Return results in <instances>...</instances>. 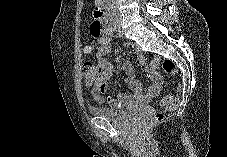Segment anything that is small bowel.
Wrapping results in <instances>:
<instances>
[{
  "instance_id": "small-bowel-1",
  "label": "small bowel",
  "mask_w": 227,
  "mask_h": 157,
  "mask_svg": "<svg viewBox=\"0 0 227 157\" xmlns=\"http://www.w3.org/2000/svg\"><path fill=\"white\" fill-rule=\"evenodd\" d=\"M94 25V24H93ZM96 48L91 45L84 47L86 54L94 52L95 61L100 70L95 83L92 85L91 93L94 100L100 104H108L113 108L129 107L139 105L143 102L153 99L160 91L161 78L156 70V61L148 63L145 57L138 52L141 65L148 70L151 79V85L147 93L143 92L142 85L134 76L133 66L130 62L123 63V69L126 72L124 78L125 83L130 87L131 91L121 93L116 98L105 96L108 81L114 72V65L107 60L106 56L111 52V41L107 33H102L98 37Z\"/></svg>"
}]
</instances>
